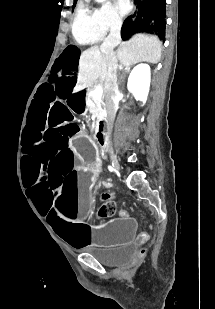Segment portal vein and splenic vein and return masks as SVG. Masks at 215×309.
Listing matches in <instances>:
<instances>
[{"instance_id": "18ae733b", "label": "portal vein and splenic vein", "mask_w": 215, "mask_h": 309, "mask_svg": "<svg viewBox=\"0 0 215 309\" xmlns=\"http://www.w3.org/2000/svg\"><path fill=\"white\" fill-rule=\"evenodd\" d=\"M93 96H102L103 90L102 86H96L95 90L92 92Z\"/></svg>"}]
</instances>
